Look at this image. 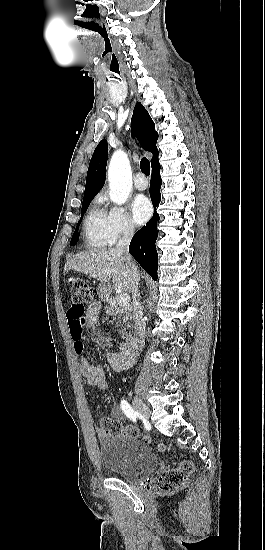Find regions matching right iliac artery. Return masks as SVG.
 <instances>
[{
    "mask_svg": "<svg viewBox=\"0 0 265 550\" xmlns=\"http://www.w3.org/2000/svg\"><path fill=\"white\" fill-rule=\"evenodd\" d=\"M121 408L125 415L130 418V420L136 422L137 417L139 416V413L134 411V409L130 406V404L126 400H121Z\"/></svg>",
    "mask_w": 265,
    "mask_h": 550,
    "instance_id": "obj_1",
    "label": "right iliac artery"
}]
</instances>
